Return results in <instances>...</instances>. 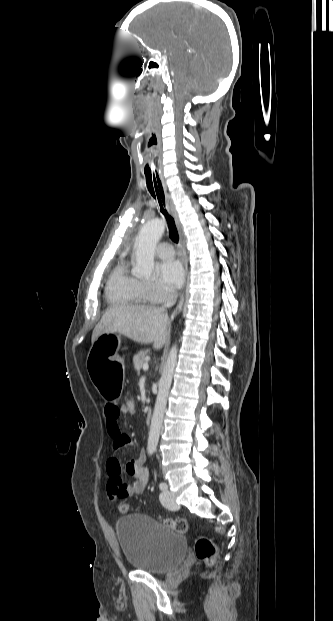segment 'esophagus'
<instances>
[{"label": "esophagus", "instance_id": "34e87169", "mask_svg": "<svg viewBox=\"0 0 333 621\" xmlns=\"http://www.w3.org/2000/svg\"><path fill=\"white\" fill-rule=\"evenodd\" d=\"M160 180H161L162 185L164 187L167 207L170 210V212L173 215V217L175 219V222H176V226H177V229H178V232H179V236H180L181 252H182L183 260L185 262V266H186V270H187V256H186V250H185V239H184L183 227H182V224L180 222L178 211H177V209L175 207L173 199H172L170 193L167 191V187H166L165 181H164V179L162 177H160ZM183 302H184V295L181 296L177 307L172 312L171 319H174L181 312L182 306H183Z\"/></svg>", "mask_w": 333, "mask_h": 621}]
</instances>
